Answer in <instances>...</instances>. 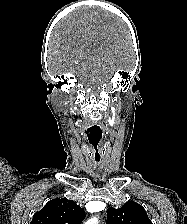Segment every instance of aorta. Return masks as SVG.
<instances>
[{"instance_id":"1","label":"aorta","mask_w":187,"mask_h":224,"mask_svg":"<svg viewBox=\"0 0 187 224\" xmlns=\"http://www.w3.org/2000/svg\"><path fill=\"white\" fill-rule=\"evenodd\" d=\"M98 223H99L98 217H92L89 220H87L85 224H98Z\"/></svg>"}]
</instances>
